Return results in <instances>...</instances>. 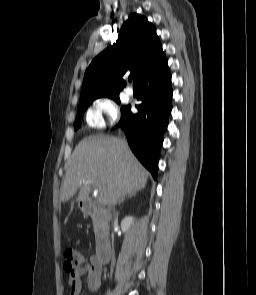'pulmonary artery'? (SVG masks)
<instances>
[{
    "instance_id": "1",
    "label": "pulmonary artery",
    "mask_w": 256,
    "mask_h": 295,
    "mask_svg": "<svg viewBox=\"0 0 256 295\" xmlns=\"http://www.w3.org/2000/svg\"><path fill=\"white\" fill-rule=\"evenodd\" d=\"M125 92L129 96L133 95V89H132V87H130V86L126 87L125 88Z\"/></svg>"
}]
</instances>
